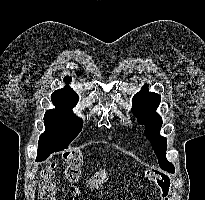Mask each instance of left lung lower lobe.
<instances>
[{
    "label": "left lung lower lobe",
    "mask_w": 205,
    "mask_h": 200,
    "mask_svg": "<svg viewBox=\"0 0 205 200\" xmlns=\"http://www.w3.org/2000/svg\"><path fill=\"white\" fill-rule=\"evenodd\" d=\"M168 172H171V173H173V172H174V170H169Z\"/></svg>",
    "instance_id": "obj_1"
}]
</instances>
